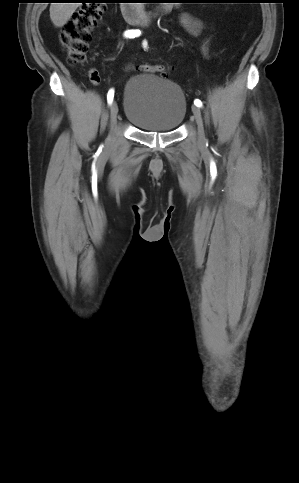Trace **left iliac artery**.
<instances>
[{
  "label": "left iliac artery",
  "mask_w": 299,
  "mask_h": 483,
  "mask_svg": "<svg viewBox=\"0 0 299 483\" xmlns=\"http://www.w3.org/2000/svg\"><path fill=\"white\" fill-rule=\"evenodd\" d=\"M143 46H144V48H147V42L146 41H143ZM194 104L198 107H202V102L199 99H195Z\"/></svg>",
  "instance_id": "obj_1"
}]
</instances>
